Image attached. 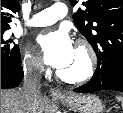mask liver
I'll return each mask as SVG.
<instances>
[{
    "instance_id": "6515ba94",
    "label": "liver",
    "mask_w": 123,
    "mask_h": 113,
    "mask_svg": "<svg viewBox=\"0 0 123 113\" xmlns=\"http://www.w3.org/2000/svg\"><path fill=\"white\" fill-rule=\"evenodd\" d=\"M44 107L45 101L41 96L28 105L20 90H1V113H43Z\"/></svg>"
}]
</instances>
